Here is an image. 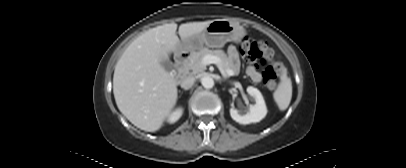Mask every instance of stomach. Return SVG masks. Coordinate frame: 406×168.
I'll list each match as a JSON object with an SVG mask.
<instances>
[{
  "label": "stomach",
  "mask_w": 406,
  "mask_h": 168,
  "mask_svg": "<svg viewBox=\"0 0 406 168\" xmlns=\"http://www.w3.org/2000/svg\"><path fill=\"white\" fill-rule=\"evenodd\" d=\"M245 34V29L237 22L226 19L213 20L200 34L182 41L176 53H194L201 50L203 46L220 48L230 41L240 42Z\"/></svg>",
  "instance_id": "1"
}]
</instances>
